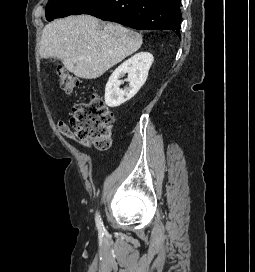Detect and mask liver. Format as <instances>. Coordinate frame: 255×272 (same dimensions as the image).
Listing matches in <instances>:
<instances>
[{"label": "liver", "mask_w": 255, "mask_h": 272, "mask_svg": "<svg viewBox=\"0 0 255 272\" xmlns=\"http://www.w3.org/2000/svg\"><path fill=\"white\" fill-rule=\"evenodd\" d=\"M90 15L69 16L47 24L40 40L42 58H58L65 68L83 79H95L137 51L142 35L117 23Z\"/></svg>", "instance_id": "1"}]
</instances>
